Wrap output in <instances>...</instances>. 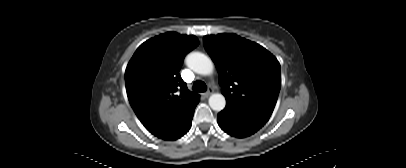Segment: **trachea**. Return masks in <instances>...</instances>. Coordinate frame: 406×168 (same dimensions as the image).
Listing matches in <instances>:
<instances>
[{
    "mask_svg": "<svg viewBox=\"0 0 406 168\" xmlns=\"http://www.w3.org/2000/svg\"><path fill=\"white\" fill-rule=\"evenodd\" d=\"M193 90L196 92H205L207 90V86L203 81H195L193 84Z\"/></svg>",
    "mask_w": 406,
    "mask_h": 168,
    "instance_id": "trachea-1",
    "label": "trachea"
}]
</instances>
